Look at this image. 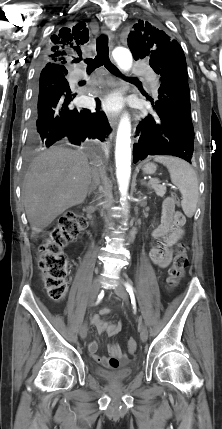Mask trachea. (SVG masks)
<instances>
[{"instance_id": "1", "label": "trachea", "mask_w": 222, "mask_h": 429, "mask_svg": "<svg viewBox=\"0 0 222 429\" xmlns=\"http://www.w3.org/2000/svg\"><path fill=\"white\" fill-rule=\"evenodd\" d=\"M97 55L94 59H86L87 72H92L96 68L104 65L111 73L117 76H123L118 68L114 66L109 59L108 38L105 35H100L96 40ZM81 58L74 60L75 63L79 62Z\"/></svg>"}]
</instances>
